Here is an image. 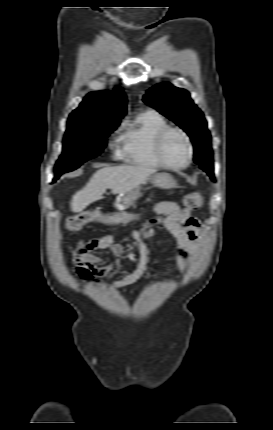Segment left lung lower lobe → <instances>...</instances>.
Here are the masks:
<instances>
[{
  "label": "left lung lower lobe",
  "instance_id": "0a47b994",
  "mask_svg": "<svg viewBox=\"0 0 273 430\" xmlns=\"http://www.w3.org/2000/svg\"><path fill=\"white\" fill-rule=\"evenodd\" d=\"M199 166H200L201 169H203L204 171H206L208 173V175L210 176V178L212 180H215V176H214V173H213V163L212 162L207 163V164H202V165H199Z\"/></svg>",
  "mask_w": 273,
  "mask_h": 430
}]
</instances>
